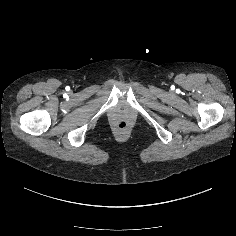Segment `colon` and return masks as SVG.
Wrapping results in <instances>:
<instances>
[{
  "mask_svg": "<svg viewBox=\"0 0 236 236\" xmlns=\"http://www.w3.org/2000/svg\"><path fill=\"white\" fill-rule=\"evenodd\" d=\"M117 126H118V128H119L120 130H123V129L126 128L127 124H126V122L121 121V122L118 123Z\"/></svg>",
  "mask_w": 236,
  "mask_h": 236,
  "instance_id": "5ec220e1",
  "label": "colon"
}]
</instances>
